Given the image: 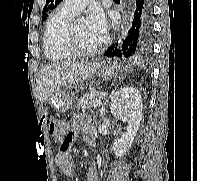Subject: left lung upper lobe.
Wrapping results in <instances>:
<instances>
[{
  "mask_svg": "<svg viewBox=\"0 0 197 181\" xmlns=\"http://www.w3.org/2000/svg\"><path fill=\"white\" fill-rule=\"evenodd\" d=\"M62 0H46V4L43 9V17L42 19L45 20L47 18L46 12L55 8Z\"/></svg>",
  "mask_w": 197,
  "mask_h": 181,
  "instance_id": "obj_1",
  "label": "left lung upper lobe"
}]
</instances>
